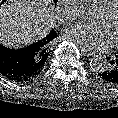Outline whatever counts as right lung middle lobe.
<instances>
[{
  "mask_svg": "<svg viewBox=\"0 0 118 118\" xmlns=\"http://www.w3.org/2000/svg\"><path fill=\"white\" fill-rule=\"evenodd\" d=\"M6 0H3V2H5ZM58 0H54V3L56 4Z\"/></svg>",
  "mask_w": 118,
  "mask_h": 118,
  "instance_id": "obj_1",
  "label": "right lung middle lobe"
}]
</instances>
